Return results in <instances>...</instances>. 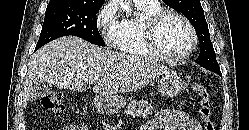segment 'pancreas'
Returning a JSON list of instances; mask_svg holds the SVG:
<instances>
[{"label":"pancreas","mask_w":249,"mask_h":130,"mask_svg":"<svg viewBox=\"0 0 249 130\" xmlns=\"http://www.w3.org/2000/svg\"><path fill=\"white\" fill-rule=\"evenodd\" d=\"M124 114H129L133 117H144L147 118L152 114V106L146 100H133L125 110Z\"/></svg>","instance_id":"pancreas-1"}]
</instances>
